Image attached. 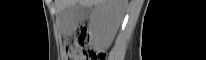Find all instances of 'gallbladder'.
<instances>
[{"label":"gallbladder","instance_id":"bac80fb5","mask_svg":"<svg viewBox=\"0 0 206 60\" xmlns=\"http://www.w3.org/2000/svg\"><path fill=\"white\" fill-rule=\"evenodd\" d=\"M87 13L88 8L79 3L70 5L59 13L60 24L65 31L74 30L86 18Z\"/></svg>","mask_w":206,"mask_h":60}]
</instances>
